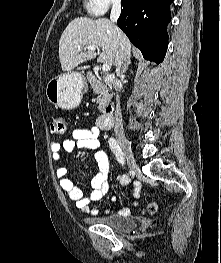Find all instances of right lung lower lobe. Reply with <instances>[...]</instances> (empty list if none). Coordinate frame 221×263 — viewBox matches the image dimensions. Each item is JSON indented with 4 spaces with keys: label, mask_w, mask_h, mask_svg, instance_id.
I'll list each match as a JSON object with an SVG mask.
<instances>
[{
    "label": "right lung lower lobe",
    "mask_w": 221,
    "mask_h": 263,
    "mask_svg": "<svg viewBox=\"0 0 221 263\" xmlns=\"http://www.w3.org/2000/svg\"><path fill=\"white\" fill-rule=\"evenodd\" d=\"M173 0H122L119 28L146 60L161 63L164 60L171 20L169 6Z\"/></svg>",
    "instance_id": "98d812e1"
}]
</instances>
